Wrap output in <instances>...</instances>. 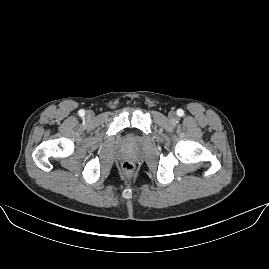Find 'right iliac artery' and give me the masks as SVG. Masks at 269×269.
I'll use <instances>...</instances> for the list:
<instances>
[{"label":"right iliac artery","mask_w":269,"mask_h":269,"mask_svg":"<svg viewBox=\"0 0 269 269\" xmlns=\"http://www.w3.org/2000/svg\"><path fill=\"white\" fill-rule=\"evenodd\" d=\"M78 113H79L80 116H84L85 115V111L83 109L79 110Z\"/></svg>","instance_id":"82829eb1"}]
</instances>
